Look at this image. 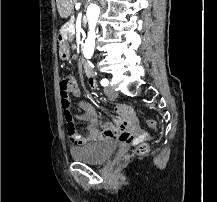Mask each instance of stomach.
Returning a JSON list of instances; mask_svg holds the SVG:
<instances>
[{"instance_id": "obj_1", "label": "stomach", "mask_w": 217, "mask_h": 202, "mask_svg": "<svg viewBox=\"0 0 217 202\" xmlns=\"http://www.w3.org/2000/svg\"><path fill=\"white\" fill-rule=\"evenodd\" d=\"M69 56H70L69 44L67 40H64V42H61L60 44L59 58H61V60H68Z\"/></svg>"}]
</instances>
